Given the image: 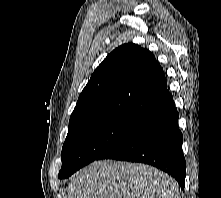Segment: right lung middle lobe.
<instances>
[{
	"label": "right lung middle lobe",
	"mask_w": 221,
	"mask_h": 198,
	"mask_svg": "<svg viewBox=\"0 0 221 198\" xmlns=\"http://www.w3.org/2000/svg\"><path fill=\"white\" fill-rule=\"evenodd\" d=\"M141 122L127 116H111L91 121L68 132L62 147L60 179L97 160L127 137Z\"/></svg>",
	"instance_id": "obj_1"
}]
</instances>
